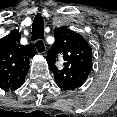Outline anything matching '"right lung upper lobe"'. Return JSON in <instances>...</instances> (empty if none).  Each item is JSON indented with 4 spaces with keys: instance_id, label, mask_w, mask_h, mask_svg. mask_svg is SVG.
<instances>
[{
    "instance_id": "cb5924a9",
    "label": "right lung upper lobe",
    "mask_w": 117,
    "mask_h": 117,
    "mask_svg": "<svg viewBox=\"0 0 117 117\" xmlns=\"http://www.w3.org/2000/svg\"><path fill=\"white\" fill-rule=\"evenodd\" d=\"M21 34L13 30L0 39V88L16 90L24 83L29 59L37 54L33 44H20Z\"/></svg>"
}]
</instances>
